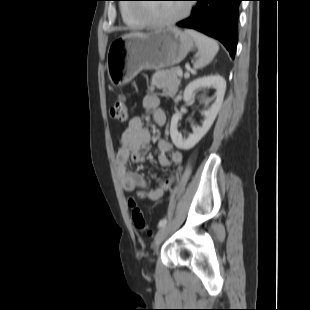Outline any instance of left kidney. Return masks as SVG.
<instances>
[{"instance_id":"5707ae66","label":"left kidney","mask_w":310,"mask_h":310,"mask_svg":"<svg viewBox=\"0 0 310 310\" xmlns=\"http://www.w3.org/2000/svg\"><path fill=\"white\" fill-rule=\"evenodd\" d=\"M215 88V101L214 103L205 110L203 113L205 115V120L202 123V126H194L192 128L193 133L190 134L187 138H183L181 133L178 132L177 126L178 121L181 118L179 113L173 115L171 119V127H170V136L173 144L183 150H188L194 147L201 138L208 132L211 128L223 102V98L226 91V82L223 77L219 75L215 76H207L196 79L188 84L184 91L183 99L185 102L190 101L193 98V93L196 90L206 89V88ZM211 99L206 96H202L201 102L207 105Z\"/></svg>"}]
</instances>
